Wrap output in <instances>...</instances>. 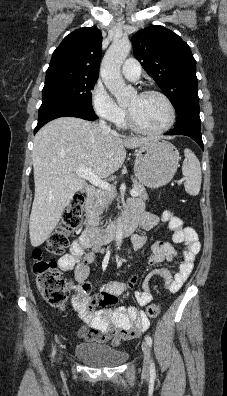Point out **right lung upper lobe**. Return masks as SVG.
<instances>
[{
	"label": "right lung upper lobe",
	"mask_w": 227,
	"mask_h": 396,
	"mask_svg": "<svg viewBox=\"0 0 227 396\" xmlns=\"http://www.w3.org/2000/svg\"><path fill=\"white\" fill-rule=\"evenodd\" d=\"M101 42V32L95 26L73 31L53 52L47 72L64 71L98 77Z\"/></svg>",
	"instance_id": "cb5924a9"
}]
</instances>
